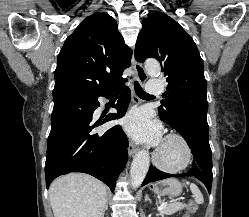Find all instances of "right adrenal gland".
I'll use <instances>...</instances> for the list:
<instances>
[{"label": "right adrenal gland", "instance_id": "1", "mask_svg": "<svg viewBox=\"0 0 249 217\" xmlns=\"http://www.w3.org/2000/svg\"><path fill=\"white\" fill-rule=\"evenodd\" d=\"M108 209V200L106 201V205L102 214V217H104L105 211Z\"/></svg>", "mask_w": 249, "mask_h": 217}]
</instances>
